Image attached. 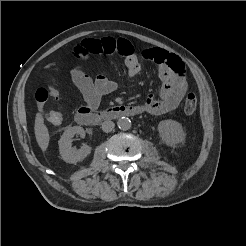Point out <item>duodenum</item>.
<instances>
[{
  "label": "duodenum",
  "instance_id": "obj_1",
  "mask_svg": "<svg viewBox=\"0 0 246 246\" xmlns=\"http://www.w3.org/2000/svg\"><path fill=\"white\" fill-rule=\"evenodd\" d=\"M142 113L140 106L119 105L97 111L88 107H82L75 115L78 124L84 126H95L106 120L117 119L124 116H135Z\"/></svg>",
  "mask_w": 246,
  "mask_h": 246
}]
</instances>
